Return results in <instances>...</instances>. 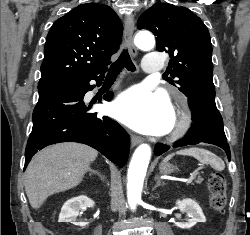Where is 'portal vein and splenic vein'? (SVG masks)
I'll use <instances>...</instances> for the list:
<instances>
[{
    "instance_id": "18ae733b",
    "label": "portal vein and splenic vein",
    "mask_w": 250,
    "mask_h": 235,
    "mask_svg": "<svg viewBox=\"0 0 250 235\" xmlns=\"http://www.w3.org/2000/svg\"><path fill=\"white\" fill-rule=\"evenodd\" d=\"M194 179V176L191 175L188 179H186L187 182H191Z\"/></svg>"
}]
</instances>
